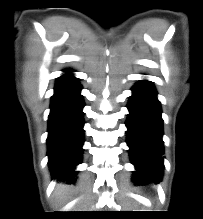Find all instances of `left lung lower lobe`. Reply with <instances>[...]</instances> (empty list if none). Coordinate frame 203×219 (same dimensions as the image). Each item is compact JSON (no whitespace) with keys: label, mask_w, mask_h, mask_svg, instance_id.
<instances>
[{"label":"left lung lower lobe","mask_w":203,"mask_h":219,"mask_svg":"<svg viewBox=\"0 0 203 219\" xmlns=\"http://www.w3.org/2000/svg\"><path fill=\"white\" fill-rule=\"evenodd\" d=\"M127 108V144L135 166L132 180L158 181L163 175V120L157 92L152 82L141 80L132 87Z\"/></svg>","instance_id":"left-lung-lower-lobe-1"}]
</instances>
